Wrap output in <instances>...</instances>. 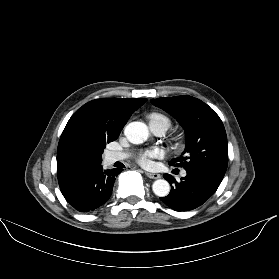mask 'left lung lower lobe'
I'll return each mask as SVG.
<instances>
[{
  "label": "left lung lower lobe",
  "mask_w": 279,
  "mask_h": 279,
  "mask_svg": "<svg viewBox=\"0 0 279 279\" xmlns=\"http://www.w3.org/2000/svg\"><path fill=\"white\" fill-rule=\"evenodd\" d=\"M186 177L177 182L174 177L164 174L170 183L171 191L161 201L175 211H189L201 206L217 190L222 180L197 168H187Z\"/></svg>",
  "instance_id": "left-lung-lower-lobe-1"
}]
</instances>
